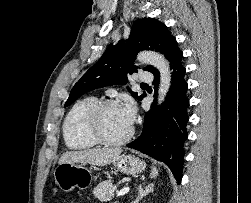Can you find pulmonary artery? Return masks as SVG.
<instances>
[{
	"label": "pulmonary artery",
	"instance_id": "pulmonary-artery-1",
	"mask_svg": "<svg viewBox=\"0 0 251 203\" xmlns=\"http://www.w3.org/2000/svg\"><path fill=\"white\" fill-rule=\"evenodd\" d=\"M138 81L141 83H150L153 81V74L149 72H141L138 74Z\"/></svg>",
	"mask_w": 251,
	"mask_h": 203
}]
</instances>
